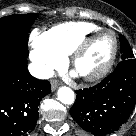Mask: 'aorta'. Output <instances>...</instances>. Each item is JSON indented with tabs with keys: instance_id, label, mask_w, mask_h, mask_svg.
<instances>
[{
	"instance_id": "obj_1",
	"label": "aorta",
	"mask_w": 136,
	"mask_h": 136,
	"mask_svg": "<svg viewBox=\"0 0 136 136\" xmlns=\"http://www.w3.org/2000/svg\"><path fill=\"white\" fill-rule=\"evenodd\" d=\"M58 99L61 103L70 105L74 102L75 96L72 89L69 87H60L57 92Z\"/></svg>"
}]
</instances>
